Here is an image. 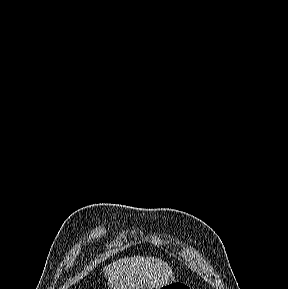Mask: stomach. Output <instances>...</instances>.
Wrapping results in <instances>:
<instances>
[{"mask_svg":"<svg viewBox=\"0 0 288 289\" xmlns=\"http://www.w3.org/2000/svg\"><path fill=\"white\" fill-rule=\"evenodd\" d=\"M160 289H191L187 284L182 282H172L160 287Z\"/></svg>","mask_w":288,"mask_h":289,"instance_id":"obj_1","label":"stomach"}]
</instances>
